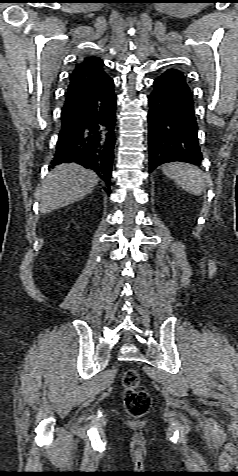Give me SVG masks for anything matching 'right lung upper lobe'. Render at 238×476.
Here are the masks:
<instances>
[{
	"instance_id": "1",
	"label": "right lung upper lobe",
	"mask_w": 238,
	"mask_h": 476,
	"mask_svg": "<svg viewBox=\"0 0 238 476\" xmlns=\"http://www.w3.org/2000/svg\"><path fill=\"white\" fill-rule=\"evenodd\" d=\"M100 58L85 57L75 65L69 76V85L66 92L64 107L73 105L95 91L109 77Z\"/></svg>"
}]
</instances>
